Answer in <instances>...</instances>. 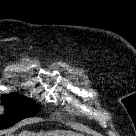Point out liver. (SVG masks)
<instances>
[{
	"label": "liver",
	"instance_id": "obj_1",
	"mask_svg": "<svg viewBox=\"0 0 136 136\" xmlns=\"http://www.w3.org/2000/svg\"><path fill=\"white\" fill-rule=\"evenodd\" d=\"M19 136H81L80 134L70 131H53L50 133H32L24 131Z\"/></svg>",
	"mask_w": 136,
	"mask_h": 136
}]
</instances>
